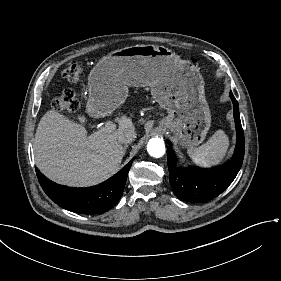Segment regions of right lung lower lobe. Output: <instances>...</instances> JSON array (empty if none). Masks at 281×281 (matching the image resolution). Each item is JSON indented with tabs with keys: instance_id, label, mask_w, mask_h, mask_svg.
<instances>
[{
	"instance_id": "obj_1",
	"label": "right lung lower lobe",
	"mask_w": 281,
	"mask_h": 281,
	"mask_svg": "<svg viewBox=\"0 0 281 281\" xmlns=\"http://www.w3.org/2000/svg\"><path fill=\"white\" fill-rule=\"evenodd\" d=\"M133 159L104 183L87 189L58 187L47 181L38 170V180L45 193L60 207L81 214H99L111 209L121 198Z\"/></svg>"
}]
</instances>
